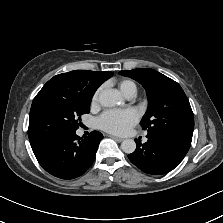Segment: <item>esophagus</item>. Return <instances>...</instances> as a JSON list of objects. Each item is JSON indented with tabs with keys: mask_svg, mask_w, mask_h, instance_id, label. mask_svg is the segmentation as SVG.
<instances>
[{
	"mask_svg": "<svg viewBox=\"0 0 223 223\" xmlns=\"http://www.w3.org/2000/svg\"><path fill=\"white\" fill-rule=\"evenodd\" d=\"M110 138L116 140L117 142H122L124 139L123 138H119L117 136H114V135H108Z\"/></svg>",
	"mask_w": 223,
	"mask_h": 223,
	"instance_id": "obj_1",
	"label": "esophagus"
}]
</instances>
